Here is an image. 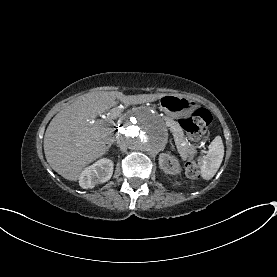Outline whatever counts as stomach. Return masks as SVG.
Listing matches in <instances>:
<instances>
[{"label":"stomach","instance_id":"obj_1","mask_svg":"<svg viewBox=\"0 0 277 277\" xmlns=\"http://www.w3.org/2000/svg\"><path fill=\"white\" fill-rule=\"evenodd\" d=\"M160 109L170 118L191 117L197 104L195 101L178 95H165L159 99Z\"/></svg>","mask_w":277,"mask_h":277}]
</instances>
